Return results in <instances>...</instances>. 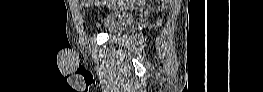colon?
Wrapping results in <instances>:
<instances>
[{"label":"colon","instance_id":"colon-1","mask_svg":"<svg viewBox=\"0 0 263 92\" xmlns=\"http://www.w3.org/2000/svg\"><path fill=\"white\" fill-rule=\"evenodd\" d=\"M82 3H88V2H91V1H86V0H83V1H80ZM99 2H105V3H116V2H119V1H99Z\"/></svg>","mask_w":263,"mask_h":92}]
</instances>
